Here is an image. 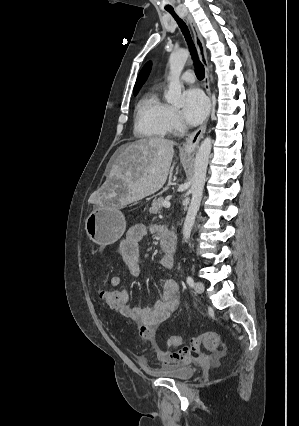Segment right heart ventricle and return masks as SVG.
Returning <instances> with one entry per match:
<instances>
[{
    "label": "right heart ventricle",
    "instance_id": "1",
    "mask_svg": "<svg viewBox=\"0 0 299 426\" xmlns=\"http://www.w3.org/2000/svg\"><path fill=\"white\" fill-rule=\"evenodd\" d=\"M170 107L164 102L157 88L149 90L136 108L135 133L143 138H163L169 131Z\"/></svg>",
    "mask_w": 299,
    "mask_h": 426
}]
</instances>
